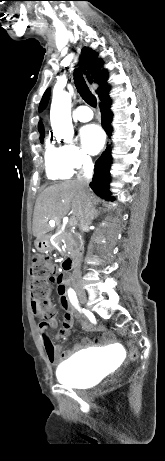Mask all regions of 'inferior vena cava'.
Returning a JSON list of instances; mask_svg holds the SVG:
<instances>
[{
    "label": "inferior vena cava",
    "instance_id": "1",
    "mask_svg": "<svg viewBox=\"0 0 165 461\" xmlns=\"http://www.w3.org/2000/svg\"><path fill=\"white\" fill-rule=\"evenodd\" d=\"M93 168H94V165H93V162L90 156H85L84 163H83V173L80 174L77 179L85 195L84 211L79 220L80 221L79 227H80V230L82 231L85 230L90 225L91 221L94 218V209L92 208L91 194L89 190V182L92 178ZM79 276H80V264L77 261L74 265L73 278L77 279Z\"/></svg>",
    "mask_w": 165,
    "mask_h": 461
}]
</instances>
